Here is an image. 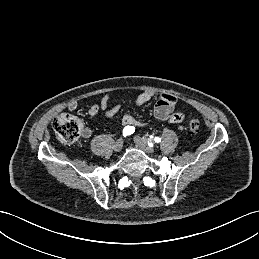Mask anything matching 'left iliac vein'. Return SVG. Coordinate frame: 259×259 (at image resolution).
I'll return each mask as SVG.
<instances>
[{"label": "left iliac vein", "instance_id": "1", "mask_svg": "<svg viewBox=\"0 0 259 259\" xmlns=\"http://www.w3.org/2000/svg\"><path fill=\"white\" fill-rule=\"evenodd\" d=\"M134 142L138 147L144 149L147 153H149V154L154 153V149L148 145V143L145 139H143L139 136H135Z\"/></svg>", "mask_w": 259, "mask_h": 259}]
</instances>
